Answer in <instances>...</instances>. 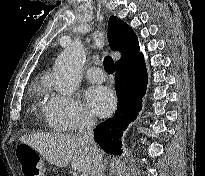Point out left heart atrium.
Wrapping results in <instances>:
<instances>
[{
  "mask_svg": "<svg viewBox=\"0 0 205 176\" xmlns=\"http://www.w3.org/2000/svg\"><path fill=\"white\" fill-rule=\"evenodd\" d=\"M86 102L90 110L104 117L111 113L116 105V99L112 91L104 86H93L86 92Z\"/></svg>",
  "mask_w": 205,
  "mask_h": 176,
  "instance_id": "1",
  "label": "left heart atrium"
}]
</instances>
